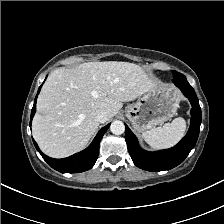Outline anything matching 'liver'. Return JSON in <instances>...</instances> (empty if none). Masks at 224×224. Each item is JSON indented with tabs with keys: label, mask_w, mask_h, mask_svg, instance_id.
Wrapping results in <instances>:
<instances>
[{
	"label": "liver",
	"mask_w": 224,
	"mask_h": 224,
	"mask_svg": "<svg viewBox=\"0 0 224 224\" xmlns=\"http://www.w3.org/2000/svg\"><path fill=\"white\" fill-rule=\"evenodd\" d=\"M157 86L139 65L129 62H86L75 68H58L37 99L33 137L46 155L68 157L87 145L99 127V111L106 110L109 120L123 102Z\"/></svg>",
	"instance_id": "1"
}]
</instances>
